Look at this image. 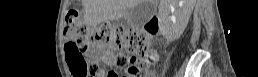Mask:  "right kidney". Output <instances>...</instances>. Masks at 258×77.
Returning a JSON list of instances; mask_svg holds the SVG:
<instances>
[{"label": "right kidney", "instance_id": "1", "mask_svg": "<svg viewBox=\"0 0 258 77\" xmlns=\"http://www.w3.org/2000/svg\"><path fill=\"white\" fill-rule=\"evenodd\" d=\"M178 2V1H177ZM182 2H184V0H179V4L182 6ZM173 6L171 4H162L160 6L161 9H163L166 13L168 12V9ZM193 9V6L189 7L188 10H186L185 12L188 14L187 18H186V21L183 22V23H179V22H176L175 21V18L174 17H169V20L173 21V24L171 25V37L173 39H177L180 37V35L183 33L184 29H185V26L188 22V18H189V15L191 13Z\"/></svg>", "mask_w": 258, "mask_h": 77}]
</instances>
